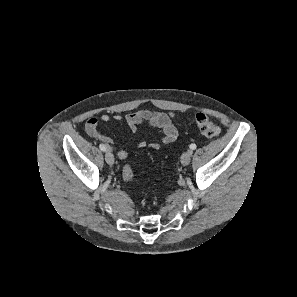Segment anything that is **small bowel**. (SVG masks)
I'll use <instances>...</instances> for the list:
<instances>
[{"label": "small bowel", "instance_id": "obj_1", "mask_svg": "<svg viewBox=\"0 0 297 297\" xmlns=\"http://www.w3.org/2000/svg\"><path fill=\"white\" fill-rule=\"evenodd\" d=\"M174 114L172 112H159L153 110H138L133 113H129L124 117L125 122L129 126L132 132H137L138 126L141 124H148L154 128H157L161 132V139L159 142L141 141L137 144L139 149L149 147L153 150L160 148L161 144H171L176 141L178 137V131L173 125L172 119ZM111 120L121 121L122 116L119 114L110 115L104 113L99 117H91L85 123V131L88 136L95 138L106 145L109 149L114 144L111 137L101 133L98 130L99 121L109 122Z\"/></svg>", "mask_w": 297, "mask_h": 297}]
</instances>
